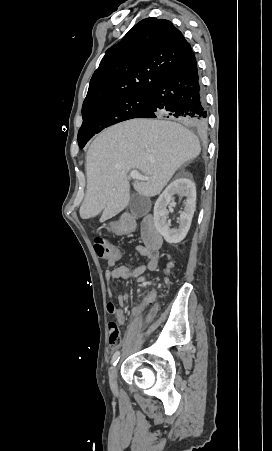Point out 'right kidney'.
I'll return each instance as SVG.
<instances>
[{
	"instance_id": "ca27d5eb",
	"label": "right kidney",
	"mask_w": 272,
	"mask_h": 451,
	"mask_svg": "<svg viewBox=\"0 0 272 451\" xmlns=\"http://www.w3.org/2000/svg\"><path fill=\"white\" fill-rule=\"evenodd\" d=\"M175 194H178L180 198H186L184 200L185 208L178 218V227H170L171 220H168V210H166L168 204L172 206L174 202ZM196 208V186L189 180V178H177L174 182H171L164 190L163 194L159 196L154 206V224L163 235L164 239L168 243H179L184 237H186L192 222Z\"/></svg>"
}]
</instances>
